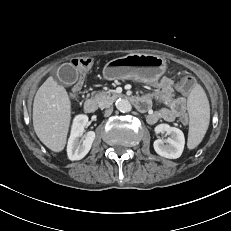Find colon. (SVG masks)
Returning a JSON list of instances; mask_svg holds the SVG:
<instances>
[{
	"label": "colon",
	"instance_id": "obj_1",
	"mask_svg": "<svg viewBox=\"0 0 231 231\" xmlns=\"http://www.w3.org/2000/svg\"><path fill=\"white\" fill-rule=\"evenodd\" d=\"M72 64L75 68L79 69V73L76 75L75 87H74L77 88V86L82 85V80H85L87 78L86 69L90 68L93 65V59L91 57L76 58L72 61ZM194 84H195L194 78L191 76H186L181 81L179 85V89L183 93H189L192 91ZM71 96L77 97L78 91L72 90ZM187 122H188L187 116L181 118V123L187 124Z\"/></svg>",
	"mask_w": 231,
	"mask_h": 231
}]
</instances>
